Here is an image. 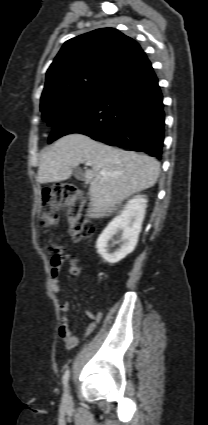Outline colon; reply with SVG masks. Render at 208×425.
Wrapping results in <instances>:
<instances>
[{
  "mask_svg": "<svg viewBox=\"0 0 208 425\" xmlns=\"http://www.w3.org/2000/svg\"><path fill=\"white\" fill-rule=\"evenodd\" d=\"M85 199L86 193L69 182L56 183L46 188L43 192L42 223L47 227L55 226L59 220L60 208L69 205L67 222L70 236L75 241L91 238L94 235V225L83 215ZM46 250L53 257V267H59L66 260L62 247L48 244ZM72 271L77 272L76 268Z\"/></svg>",
  "mask_w": 208,
  "mask_h": 425,
  "instance_id": "colon-1",
  "label": "colon"
}]
</instances>
